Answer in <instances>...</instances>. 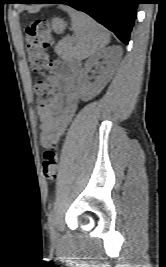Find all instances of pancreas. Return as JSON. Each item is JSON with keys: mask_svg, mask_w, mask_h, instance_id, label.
<instances>
[{"mask_svg": "<svg viewBox=\"0 0 166 267\" xmlns=\"http://www.w3.org/2000/svg\"><path fill=\"white\" fill-rule=\"evenodd\" d=\"M55 50L57 54L63 59H69L72 57V47L69 41H60L56 45Z\"/></svg>", "mask_w": 166, "mask_h": 267, "instance_id": "pancreas-1", "label": "pancreas"}]
</instances>
